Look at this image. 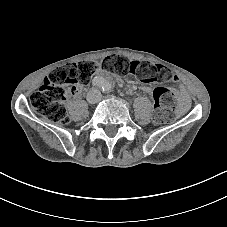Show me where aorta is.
<instances>
[{
    "label": "aorta",
    "mask_w": 227,
    "mask_h": 227,
    "mask_svg": "<svg viewBox=\"0 0 227 227\" xmlns=\"http://www.w3.org/2000/svg\"><path fill=\"white\" fill-rule=\"evenodd\" d=\"M98 83L104 89H110L112 87V81L105 77H100Z\"/></svg>",
    "instance_id": "1"
}]
</instances>
